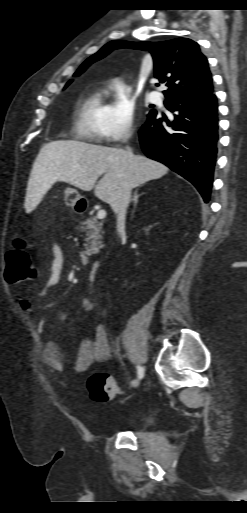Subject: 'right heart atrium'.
<instances>
[{"label": "right heart atrium", "instance_id": "1", "mask_svg": "<svg viewBox=\"0 0 247 513\" xmlns=\"http://www.w3.org/2000/svg\"><path fill=\"white\" fill-rule=\"evenodd\" d=\"M136 102L130 89L121 82L113 84V99L108 105L102 125L101 139L117 143L127 139L134 127Z\"/></svg>", "mask_w": 247, "mask_h": 513}]
</instances>
